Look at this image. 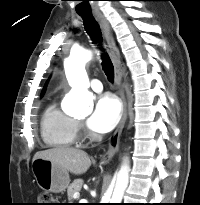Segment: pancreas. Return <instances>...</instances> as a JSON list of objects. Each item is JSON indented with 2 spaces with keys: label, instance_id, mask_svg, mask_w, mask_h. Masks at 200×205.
Listing matches in <instances>:
<instances>
[{
  "label": "pancreas",
  "instance_id": "obj_1",
  "mask_svg": "<svg viewBox=\"0 0 200 205\" xmlns=\"http://www.w3.org/2000/svg\"><path fill=\"white\" fill-rule=\"evenodd\" d=\"M83 180L82 179H75L67 189L68 199L71 200L73 198V194L75 192H79L82 188Z\"/></svg>",
  "mask_w": 200,
  "mask_h": 205
}]
</instances>
